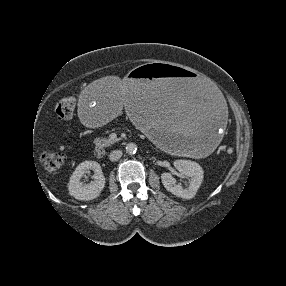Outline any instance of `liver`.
Instances as JSON below:
<instances>
[{
    "label": "liver",
    "instance_id": "obj_1",
    "mask_svg": "<svg viewBox=\"0 0 286 286\" xmlns=\"http://www.w3.org/2000/svg\"><path fill=\"white\" fill-rule=\"evenodd\" d=\"M101 86H99V88H100ZM98 88V89H99ZM119 89H120V93L123 95V96H125V94L128 92L127 91V86H126V84L125 83H123V85L122 84H120L119 85ZM126 99H127V97H125ZM125 99V100H126Z\"/></svg>",
    "mask_w": 286,
    "mask_h": 286
}]
</instances>
